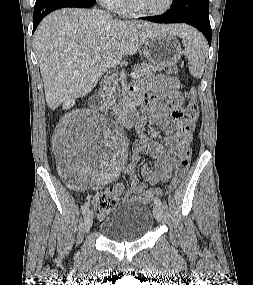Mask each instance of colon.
Masks as SVG:
<instances>
[{"instance_id":"obj_1","label":"colon","mask_w":253,"mask_h":285,"mask_svg":"<svg viewBox=\"0 0 253 285\" xmlns=\"http://www.w3.org/2000/svg\"><path fill=\"white\" fill-rule=\"evenodd\" d=\"M200 114L199 104L197 102V91L192 87L189 91V102L186 106V118L188 121L195 123ZM191 161V150H187L182 156L174 172L168 190L176 188L184 179ZM161 192L159 189H150L148 195L153 197ZM118 198L112 191H105L98 194L93 201L94 207L100 216H104L111 208L116 206Z\"/></svg>"}]
</instances>
